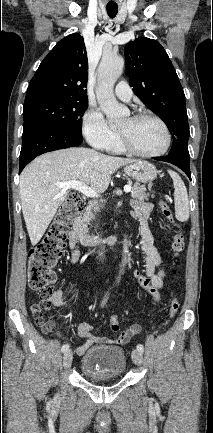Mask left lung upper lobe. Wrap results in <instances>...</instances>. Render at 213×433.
<instances>
[{"mask_svg": "<svg viewBox=\"0 0 213 433\" xmlns=\"http://www.w3.org/2000/svg\"><path fill=\"white\" fill-rule=\"evenodd\" d=\"M134 93L159 115L173 135L169 155L189 159L185 95L165 49L156 40L138 38L124 49Z\"/></svg>", "mask_w": 213, "mask_h": 433, "instance_id": "left-lung-upper-lobe-1", "label": "left lung upper lobe"}]
</instances>
